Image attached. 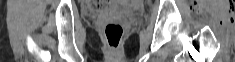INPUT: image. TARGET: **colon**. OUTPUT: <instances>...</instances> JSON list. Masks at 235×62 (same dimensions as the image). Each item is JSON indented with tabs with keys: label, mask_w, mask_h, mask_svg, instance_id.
I'll return each instance as SVG.
<instances>
[{
	"label": "colon",
	"mask_w": 235,
	"mask_h": 62,
	"mask_svg": "<svg viewBox=\"0 0 235 62\" xmlns=\"http://www.w3.org/2000/svg\"><path fill=\"white\" fill-rule=\"evenodd\" d=\"M105 38L110 47L116 48L123 36V26L120 23H108L104 30Z\"/></svg>",
	"instance_id": "colon-1"
}]
</instances>
